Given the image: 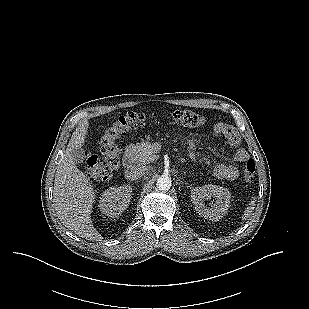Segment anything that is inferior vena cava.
<instances>
[{
    "instance_id": "inferior-vena-cava-1",
    "label": "inferior vena cava",
    "mask_w": 309,
    "mask_h": 309,
    "mask_svg": "<svg viewBox=\"0 0 309 309\" xmlns=\"http://www.w3.org/2000/svg\"><path fill=\"white\" fill-rule=\"evenodd\" d=\"M146 170V167L142 165L132 166L130 169L126 170L125 178L130 181L137 180L146 173Z\"/></svg>"
}]
</instances>
